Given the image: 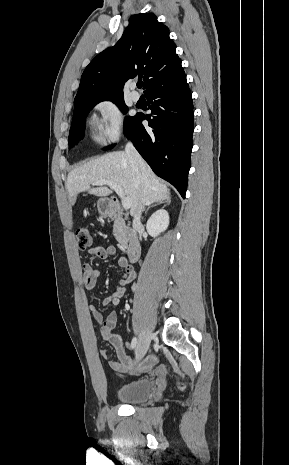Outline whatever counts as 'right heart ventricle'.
<instances>
[{"instance_id": "1", "label": "right heart ventricle", "mask_w": 289, "mask_h": 465, "mask_svg": "<svg viewBox=\"0 0 289 465\" xmlns=\"http://www.w3.org/2000/svg\"><path fill=\"white\" fill-rule=\"evenodd\" d=\"M92 124H94V122H93ZM95 139H96V140H98V137H97V136H95Z\"/></svg>"}]
</instances>
